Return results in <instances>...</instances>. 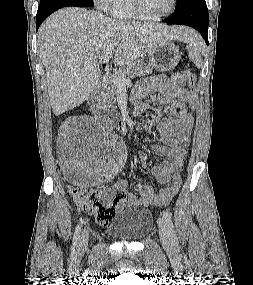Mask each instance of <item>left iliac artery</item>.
Returning a JSON list of instances; mask_svg holds the SVG:
<instances>
[{
  "label": "left iliac artery",
  "mask_w": 253,
  "mask_h": 285,
  "mask_svg": "<svg viewBox=\"0 0 253 285\" xmlns=\"http://www.w3.org/2000/svg\"><path fill=\"white\" fill-rule=\"evenodd\" d=\"M163 217L165 219V222L169 228V232H170V235H171V241L174 245V247H178V240H177V236H176V233H175V230H174V225H173V222H172V216L169 212L167 211H164L163 212Z\"/></svg>",
  "instance_id": "1"
}]
</instances>
